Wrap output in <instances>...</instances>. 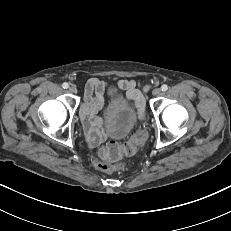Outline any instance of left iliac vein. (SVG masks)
<instances>
[{"label": "left iliac vein", "instance_id": "left-iliac-vein-1", "mask_svg": "<svg viewBox=\"0 0 231 231\" xmlns=\"http://www.w3.org/2000/svg\"><path fill=\"white\" fill-rule=\"evenodd\" d=\"M152 94L154 96H159L161 95V89L160 88H155L153 91H152Z\"/></svg>", "mask_w": 231, "mask_h": 231}]
</instances>
